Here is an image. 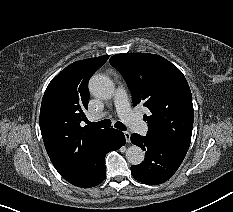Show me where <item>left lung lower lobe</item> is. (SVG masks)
<instances>
[{"label": "left lung lower lobe", "instance_id": "left-lung-lower-lobe-1", "mask_svg": "<svg viewBox=\"0 0 233 212\" xmlns=\"http://www.w3.org/2000/svg\"><path fill=\"white\" fill-rule=\"evenodd\" d=\"M131 142L146 152L145 161L131 166V173L136 180L149 185L161 184L171 178L188 151L187 147L136 133L131 135Z\"/></svg>", "mask_w": 233, "mask_h": 212}]
</instances>
